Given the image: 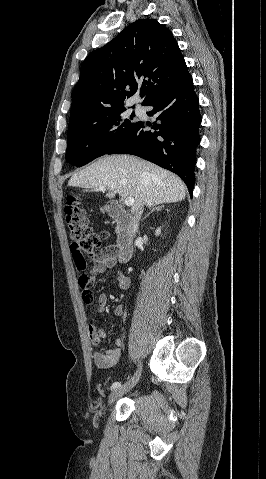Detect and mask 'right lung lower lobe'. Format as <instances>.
<instances>
[{"label":"right lung lower lobe","mask_w":266,"mask_h":479,"mask_svg":"<svg viewBox=\"0 0 266 479\" xmlns=\"http://www.w3.org/2000/svg\"><path fill=\"white\" fill-rule=\"evenodd\" d=\"M198 104L188 73L157 90L142 104L154 107L147 112L156 118L151 125L153 131L146 129L147 124L137 122L107 154H132L168 169L185 182L192 195L196 146L200 142Z\"/></svg>","instance_id":"obj_1"}]
</instances>
